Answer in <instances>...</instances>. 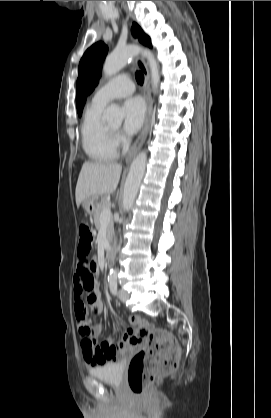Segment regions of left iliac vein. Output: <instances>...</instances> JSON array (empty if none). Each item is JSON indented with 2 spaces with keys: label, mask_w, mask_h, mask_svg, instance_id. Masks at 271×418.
Wrapping results in <instances>:
<instances>
[{
  "label": "left iliac vein",
  "mask_w": 271,
  "mask_h": 418,
  "mask_svg": "<svg viewBox=\"0 0 271 418\" xmlns=\"http://www.w3.org/2000/svg\"><path fill=\"white\" fill-rule=\"evenodd\" d=\"M119 298L122 302H126L129 299V293L121 289L119 290Z\"/></svg>",
  "instance_id": "obj_1"
}]
</instances>
